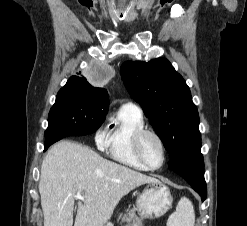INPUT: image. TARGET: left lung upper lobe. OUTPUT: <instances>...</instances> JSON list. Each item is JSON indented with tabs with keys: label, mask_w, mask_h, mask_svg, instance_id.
<instances>
[{
	"label": "left lung upper lobe",
	"mask_w": 247,
	"mask_h": 226,
	"mask_svg": "<svg viewBox=\"0 0 247 226\" xmlns=\"http://www.w3.org/2000/svg\"><path fill=\"white\" fill-rule=\"evenodd\" d=\"M121 76L161 138L171 159L201 149L199 115L189 87L164 58L126 61Z\"/></svg>",
	"instance_id": "5c2ea615"
}]
</instances>
